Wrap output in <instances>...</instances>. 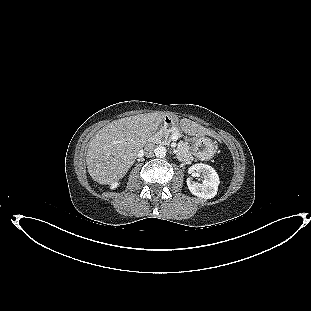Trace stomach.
Returning <instances> with one entry per match:
<instances>
[{"mask_svg":"<svg viewBox=\"0 0 311 311\" xmlns=\"http://www.w3.org/2000/svg\"><path fill=\"white\" fill-rule=\"evenodd\" d=\"M181 130L186 133L187 135L192 136L191 142H192V151L195 156H197L200 159H210L214 156L216 149L212 142V140L208 137H205L203 135L196 134H190L188 131L183 129L181 127V122H179Z\"/></svg>","mask_w":311,"mask_h":311,"instance_id":"obj_1","label":"stomach"}]
</instances>
